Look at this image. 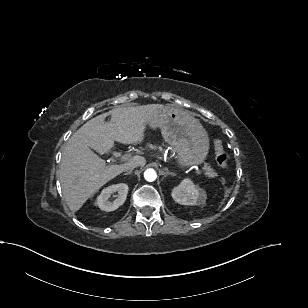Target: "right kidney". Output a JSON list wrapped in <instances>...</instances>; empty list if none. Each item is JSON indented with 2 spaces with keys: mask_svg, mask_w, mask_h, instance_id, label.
Instances as JSON below:
<instances>
[{
  "mask_svg": "<svg viewBox=\"0 0 308 308\" xmlns=\"http://www.w3.org/2000/svg\"><path fill=\"white\" fill-rule=\"evenodd\" d=\"M128 190L129 187L125 183L108 186L104 188L101 194L97 197L96 204L103 211H114L124 204ZM115 192H118L117 198L113 202H110L109 198Z\"/></svg>",
  "mask_w": 308,
  "mask_h": 308,
  "instance_id": "ca27d5eb",
  "label": "right kidney"
}]
</instances>
